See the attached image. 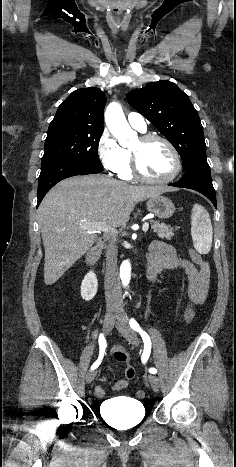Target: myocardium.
I'll list each match as a JSON object with an SVG mask.
<instances>
[{
    "label": "myocardium",
    "mask_w": 236,
    "mask_h": 467,
    "mask_svg": "<svg viewBox=\"0 0 236 467\" xmlns=\"http://www.w3.org/2000/svg\"><path fill=\"white\" fill-rule=\"evenodd\" d=\"M140 141L143 145H146L150 142L153 141H160L164 143L168 149L170 150L173 158H174V163L175 167L173 172L166 178H151L147 176L140 168L139 164V155L132 149L131 150V157H132V173L135 175L138 179L147 182V183H153V184H166L170 183L173 180H175L178 175L180 174L182 170V161L179 152L177 151L176 147L172 144L170 140L167 138L157 135V134H146L140 137Z\"/></svg>",
    "instance_id": "1"
}]
</instances>
